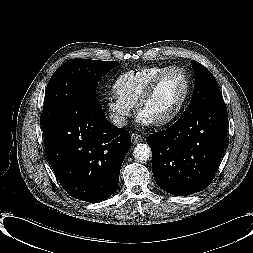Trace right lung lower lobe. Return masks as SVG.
Returning a JSON list of instances; mask_svg holds the SVG:
<instances>
[{
	"label": "right lung lower lobe",
	"mask_w": 253,
	"mask_h": 253,
	"mask_svg": "<svg viewBox=\"0 0 253 253\" xmlns=\"http://www.w3.org/2000/svg\"><path fill=\"white\" fill-rule=\"evenodd\" d=\"M42 129L46 155L70 196L96 203L116 191L131 137L106 119L95 96L74 103Z\"/></svg>",
	"instance_id": "obj_1"
}]
</instances>
